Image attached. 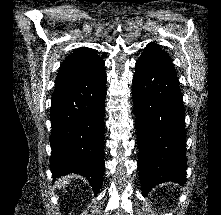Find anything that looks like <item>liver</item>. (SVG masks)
I'll list each match as a JSON object with an SVG mask.
<instances>
[{"label": "liver", "instance_id": "liver-1", "mask_svg": "<svg viewBox=\"0 0 221 215\" xmlns=\"http://www.w3.org/2000/svg\"><path fill=\"white\" fill-rule=\"evenodd\" d=\"M71 179V176H66V177H63L61 178L59 181H58V186L61 187V186H64L65 184H67Z\"/></svg>", "mask_w": 221, "mask_h": 215}]
</instances>
